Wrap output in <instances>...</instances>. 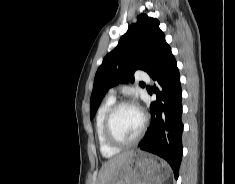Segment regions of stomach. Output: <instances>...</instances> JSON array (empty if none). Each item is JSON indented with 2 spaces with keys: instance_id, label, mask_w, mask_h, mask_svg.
Returning <instances> with one entry per match:
<instances>
[{
  "instance_id": "1",
  "label": "stomach",
  "mask_w": 235,
  "mask_h": 184,
  "mask_svg": "<svg viewBox=\"0 0 235 184\" xmlns=\"http://www.w3.org/2000/svg\"><path fill=\"white\" fill-rule=\"evenodd\" d=\"M169 176L165 162L154 160L144 152H133L127 162L117 168L108 184H162Z\"/></svg>"
}]
</instances>
